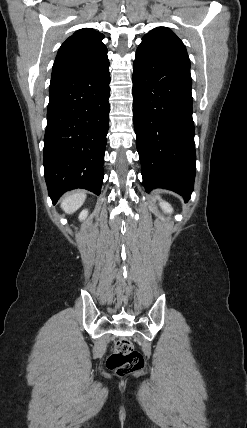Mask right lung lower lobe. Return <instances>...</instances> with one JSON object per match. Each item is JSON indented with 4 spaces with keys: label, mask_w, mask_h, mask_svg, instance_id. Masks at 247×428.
Instances as JSON below:
<instances>
[{
    "label": "right lung lower lobe",
    "mask_w": 247,
    "mask_h": 428,
    "mask_svg": "<svg viewBox=\"0 0 247 428\" xmlns=\"http://www.w3.org/2000/svg\"><path fill=\"white\" fill-rule=\"evenodd\" d=\"M109 83L107 56L87 69L51 78L43 164L53 204L75 188L100 194Z\"/></svg>",
    "instance_id": "1"
}]
</instances>
